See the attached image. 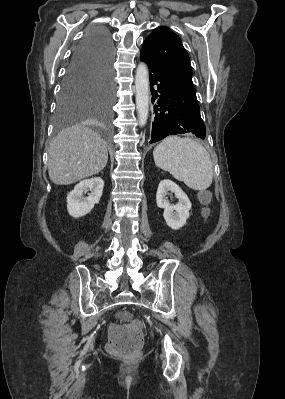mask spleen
I'll return each mask as SVG.
<instances>
[{
	"instance_id": "obj_1",
	"label": "spleen",
	"mask_w": 285,
	"mask_h": 399,
	"mask_svg": "<svg viewBox=\"0 0 285 399\" xmlns=\"http://www.w3.org/2000/svg\"><path fill=\"white\" fill-rule=\"evenodd\" d=\"M157 167L168 171L189 188L203 191L213 179V164L207 150L189 137L165 138L153 151Z\"/></svg>"
}]
</instances>
